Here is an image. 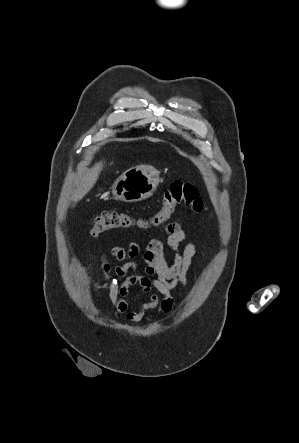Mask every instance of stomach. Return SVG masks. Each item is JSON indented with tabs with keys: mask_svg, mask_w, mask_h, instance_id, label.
<instances>
[{
	"mask_svg": "<svg viewBox=\"0 0 299 443\" xmlns=\"http://www.w3.org/2000/svg\"><path fill=\"white\" fill-rule=\"evenodd\" d=\"M160 182L159 172L151 166H136L123 172L113 183V196L124 202L149 198Z\"/></svg>",
	"mask_w": 299,
	"mask_h": 443,
	"instance_id": "0dacf381",
	"label": "stomach"
}]
</instances>
